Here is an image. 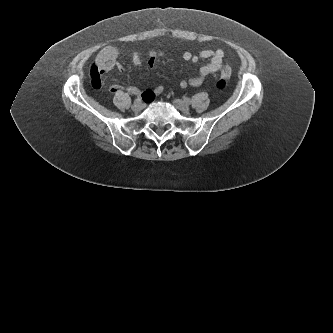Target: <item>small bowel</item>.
I'll list each match as a JSON object with an SVG mask.
<instances>
[{"label":"small bowel","instance_id":"1","mask_svg":"<svg viewBox=\"0 0 333 333\" xmlns=\"http://www.w3.org/2000/svg\"><path fill=\"white\" fill-rule=\"evenodd\" d=\"M119 48L117 46H106L103 48L95 62L90 67L91 72V85L95 89H99L102 86L101 76L103 73H107L112 69L123 70L121 64L118 62ZM161 56L159 51H151L148 57V64L153 66L156 59ZM182 58L186 62L197 63L200 59H208L209 62L202 67H200L197 76L191 78L182 79L179 82L181 88H186L188 86L197 87L200 86L205 78L217 71H219L223 66L224 52L221 49H206L201 51L199 54H192L191 52H184ZM131 61L134 66H142L143 59L139 53L133 52L131 54ZM121 90V86L114 84L109 88L110 93H116ZM126 91L133 95L141 94L140 90L135 86H128ZM163 91L162 86H158L152 90H146L142 94V99L144 101L157 100L159 94Z\"/></svg>","mask_w":333,"mask_h":333}]
</instances>
